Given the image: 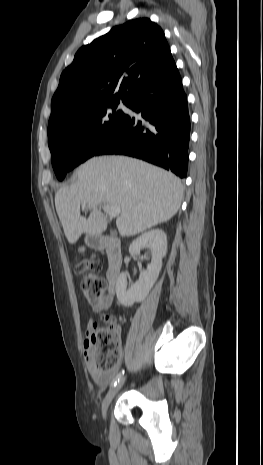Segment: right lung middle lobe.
<instances>
[{"label": "right lung middle lobe", "instance_id": "1", "mask_svg": "<svg viewBox=\"0 0 263 465\" xmlns=\"http://www.w3.org/2000/svg\"><path fill=\"white\" fill-rule=\"evenodd\" d=\"M126 105L127 99H122ZM119 99L100 101L61 116L48 126V144L55 174L66 173L97 154L125 114L115 110Z\"/></svg>", "mask_w": 263, "mask_h": 465}]
</instances>
